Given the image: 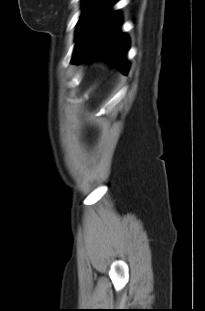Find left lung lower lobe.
Returning a JSON list of instances; mask_svg holds the SVG:
<instances>
[{
    "label": "left lung lower lobe",
    "instance_id": "left-lung-lower-lobe-1",
    "mask_svg": "<svg viewBox=\"0 0 205 311\" xmlns=\"http://www.w3.org/2000/svg\"><path fill=\"white\" fill-rule=\"evenodd\" d=\"M121 17L113 15L78 47L75 48L71 63L100 58L110 61L123 74H127L125 55L129 48L128 37L119 32Z\"/></svg>",
    "mask_w": 205,
    "mask_h": 311
}]
</instances>
